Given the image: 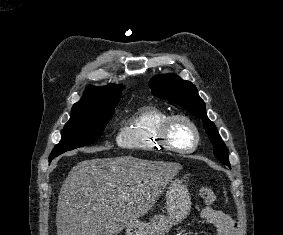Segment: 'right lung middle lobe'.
<instances>
[{"label":"right lung middle lobe","mask_w":283,"mask_h":235,"mask_svg":"<svg viewBox=\"0 0 283 235\" xmlns=\"http://www.w3.org/2000/svg\"><path fill=\"white\" fill-rule=\"evenodd\" d=\"M117 104L73 105L71 117L64 126L62 138L52 150L49 160L66 151L97 141L114 114Z\"/></svg>","instance_id":"right-lung-middle-lobe-1"}]
</instances>
